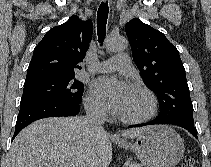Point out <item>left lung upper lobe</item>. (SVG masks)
I'll use <instances>...</instances> for the list:
<instances>
[{
	"mask_svg": "<svg viewBox=\"0 0 211 167\" xmlns=\"http://www.w3.org/2000/svg\"><path fill=\"white\" fill-rule=\"evenodd\" d=\"M125 30L140 75L158 96L161 112L157 119L194 123L185 69L176 47L138 18L126 23Z\"/></svg>",
	"mask_w": 211,
	"mask_h": 167,
	"instance_id": "left-lung-upper-lobe-1",
	"label": "left lung upper lobe"
}]
</instances>
